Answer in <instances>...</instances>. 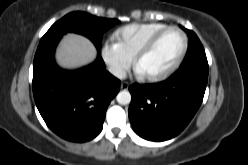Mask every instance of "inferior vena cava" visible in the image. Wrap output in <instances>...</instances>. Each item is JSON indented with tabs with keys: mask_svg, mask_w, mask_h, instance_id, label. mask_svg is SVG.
<instances>
[{
	"mask_svg": "<svg viewBox=\"0 0 248 165\" xmlns=\"http://www.w3.org/2000/svg\"><path fill=\"white\" fill-rule=\"evenodd\" d=\"M109 72L114 75L115 77L119 78V79H124L126 78V71L125 69H123L122 67H118V66H111L109 67Z\"/></svg>",
	"mask_w": 248,
	"mask_h": 165,
	"instance_id": "1",
	"label": "inferior vena cava"
}]
</instances>
